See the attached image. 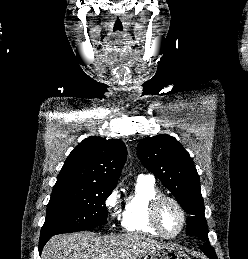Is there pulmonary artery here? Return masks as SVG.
<instances>
[{
  "label": "pulmonary artery",
  "mask_w": 248,
  "mask_h": 259,
  "mask_svg": "<svg viewBox=\"0 0 248 259\" xmlns=\"http://www.w3.org/2000/svg\"><path fill=\"white\" fill-rule=\"evenodd\" d=\"M139 177H146V178H149V179H152L153 180V176L148 174V175H140Z\"/></svg>",
  "instance_id": "1"
}]
</instances>
